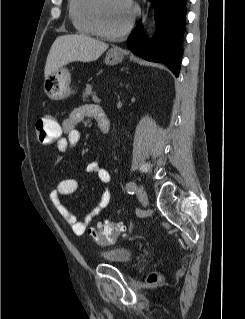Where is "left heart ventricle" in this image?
Returning <instances> with one entry per match:
<instances>
[{
    "label": "left heart ventricle",
    "instance_id": "left-heart-ventricle-1",
    "mask_svg": "<svg viewBox=\"0 0 245 319\" xmlns=\"http://www.w3.org/2000/svg\"><path fill=\"white\" fill-rule=\"evenodd\" d=\"M132 9L127 8L121 0H104L102 21L106 29L118 31L122 29L131 17Z\"/></svg>",
    "mask_w": 245,
    "mask_h": 319
}]
</instances>
